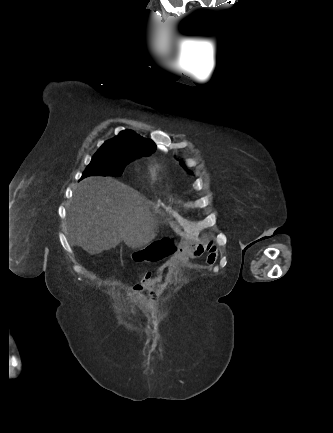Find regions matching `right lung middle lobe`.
Wrapping results in <instances>:
<instances>
[{
  "label": "right lung middle lobe",
  "mask_w": 333,
  "mask_h": 433,
  "mask_svg": "<svg viewBox=\"0 0 333 433\" xmlns=\"http://www.w3.org/2000/svg\"><path fill=\"white\" fill-rule=\"evenodd\" d=\"M135 159L136 156L133 155L114 154L99 149L83 172L82 178L91 175L120 176L124 167Z\"/></svg>",
  "instance_id": "obj_1"
}]
</instances>
